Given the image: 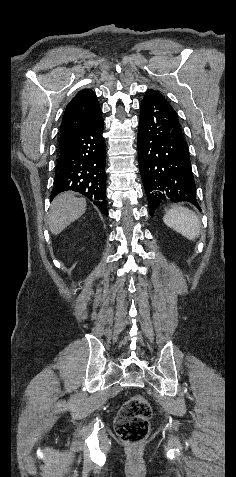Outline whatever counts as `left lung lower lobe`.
Here are the masks:
<instances>
[{"mask_svg":"<svg viewBox=\"0 0 236 477\" xmlns=\"http://www.w3.org/2000/svg\"><path fill=\"white\" fill-rule=\"evenodd\" d=\"M137 143L151 217L166 200L190 202L200 209L189 149L178 116L158 91L148 90L141 103Z\"/></svg>","mask_w":236,"mask_h":477,"instance_id":"obj_1","label":"left lung lower lobe"}]
</instances>
